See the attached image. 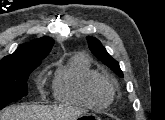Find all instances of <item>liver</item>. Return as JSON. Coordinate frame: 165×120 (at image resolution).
I'll return each instance as SVG.
<instances>
[{"label": "liver", "mask_w": 165, "mask_h": 120, "mask_svg": "<svg viewBox=\"0 0 165 120\" xmlns=\"http://www.w3.org/2000/svg\"><path fill=\"white\" fill-rule=\"evenodd\" d=\"M82 113L81 109L64 106L13 105L3 112L0 120H65Z\"/></svg>", "instance_id": "obj_1"}]
</instances>
